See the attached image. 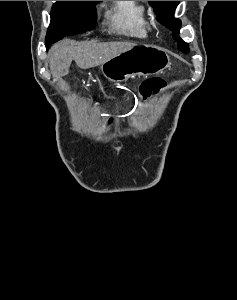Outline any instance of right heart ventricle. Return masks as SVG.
Returning a JSON list of instances; mask_svg holds the SVG:
<instances>
[{
	"instance_id": "1",
	"label": "right heart ventricle",
	"mask_w": 237,
	"mask_h": 300,
	"mask_svg": "<svg viewBox=\"0 0 237 300\" xmlns=\"http://www.w3.org/2000/svg\"><path fill=\"white\" fill-rule=\"evenodd\" d=\"M107 19L116 31L137 36L146 34V8L140 1H112Z\"/></svg>"
}]
</instances>
